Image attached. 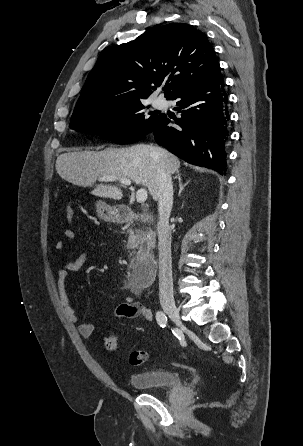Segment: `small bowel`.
Instances as JSON below:
<instances>
[{
	"instance_id": "small-bowel-1",
	"label": "small bowel",
	"mask_w": 303,
	"mask_h": 446,
	"mask_svg": "<svg viewBox=\"0 0 303 446\" xmlns=\"http://www.w3.org/2000/svg\"><path fill=\"white\" fill-rule=\"evenodd\" d=\"M64 237L68 241L75 240L76 233L73 229H65ZM65 247V242L59 240L55 244V248L57 250H63ZM89 260V254L87 252L81 253L74 260L64 261L60 270L58 271V280H57V288L59 295V302L63 309L64 314L67 319L76 326L78 333L84 339H90L94 332V325L90 323H82L79 322L78 316L70 303V299L66 290V279L69 272L80 270ZM130 292L132 296H127L122 303L116 306L114 310V315L117 318L124 319H135V318H143L146 321L153 320V312L144 306L142 303L136 300L141 293V289H137L135 287H130Z\"/></svg>"
}]
</instances>
